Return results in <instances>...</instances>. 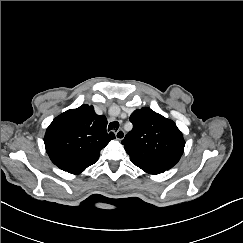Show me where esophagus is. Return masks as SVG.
Masks as SVG:
<instances>
[{"mask_svg": "<svg viewBox=\"0 0 243 243\" xmlns=\"http://www.w3.org/2000/svg\"><path fill=\"white\" fill-rule=\"evenodd\" d=\"M115 136L118 140H123L125 137V132L122 129H119L116 133Z\"/></svg>", "mask_w": 243, "mask_h": 243, "instance_id": "34e87169", "label": "esophagus"}]
</instances>
